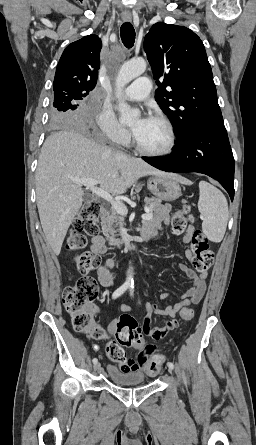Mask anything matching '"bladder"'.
Returning <instances> with one entry per match:
<instances>
[{
  "mask_svg": "<svg viewBox=\"0 0 256 445\" xmlns=\"http://www.w3.org/2000/svg\"><path fill=\"white\" fill-rule=\"evenodd\" d=\"M108 375L110 380L118 385H141L145 382L144 375L138 371H124L110 366Z\"/></svg>",
  "mask_w": 256,
  "mask_h": 445,
  "instance_id": "bladder-1",
  "label": "bladder"
}]
</instances>
